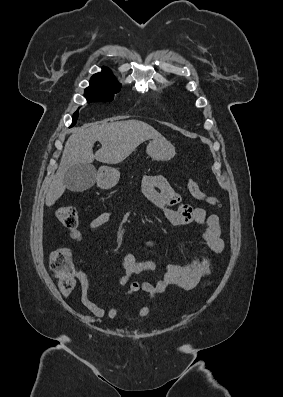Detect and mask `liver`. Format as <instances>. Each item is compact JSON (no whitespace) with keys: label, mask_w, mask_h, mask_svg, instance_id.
<instances>
[{"label":"liver","mask_w":283,"mask_h":397,"mask_svg":"<svg viewBox=\"0 0 283 397\" xmlns=\"http://www.w3.org/2000/svg\"><path fill=\"white\" fill-rule=\"evenodd\" d=\"M148 139L164 137L152 126L139 120L114 121L78 128L65 144L59 168L46 194V205H54L65 192L64 174L71 166L91 164L94 160L118 164ZM96 141L102 146L94 154Z\"/></svg>","instance_id":"liver-1"}]
</instances>
